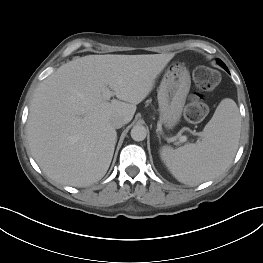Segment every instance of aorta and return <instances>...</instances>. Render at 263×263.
<instances>
[{
	"mask_svg": "<svg viewBox=\"0 0 263 263\" xmlns=\"http://www.w3.org/2000/svg\"><path fill=\"white\" fill-rule=\"evenodd\" d=\"M130 134L134 141H143L147 136V130L142 125H135Z\"/></svg>",
	"mask_w": 263,
	"mask_h": 263,
	"instance_id": "aorta-1",
	"label": "aorta"
}]
</instances>
